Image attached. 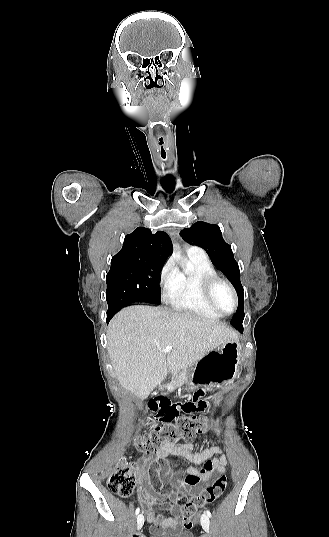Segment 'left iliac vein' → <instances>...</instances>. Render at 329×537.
<instances>
[{"label":"left iliac vein","instance_id":"4c4485c4","mask_svg":"<svg viewBox=\"0 0 329 537\" xmlns=\"http://www.w3.org/2000/svg\"><path fill=\"white\" fill-rule=\"evenodd\" d=\"M201 526H202V528H203V530H204L205 532H207V533L209 532V530H210V520H209V516H208V515L203 514V515L201 516Z\"/></svg>","mask_w":329,"mask_h":537}]
</instances>
